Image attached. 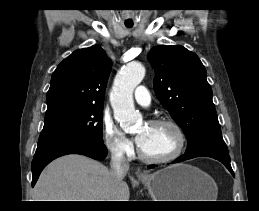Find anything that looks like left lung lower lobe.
<instances>
[{
	"instance_id": "1",
	"label": "left lung lower lobe",
	"mask_w": 259,
	"mask_h": 211,
	"mask_svg": "<svg viewBox=\"0 0 259 211\" xmlns=\"http://www.w3.org/2000/svg\"><path fill=\"white\" fill-rule=\"evenodd\" d=\"M211 157L216 160H219L222 162L225 167L231 172V174L234 176L233 170L230 165V156L228 154V151L219 150V149H212V148H204L196 150L192 153L184 154L177 158L174 163L182 162L185 160H189L195 157ZM155 165L149 166V168H154Z\"/></svg>"
}]
</instances>
